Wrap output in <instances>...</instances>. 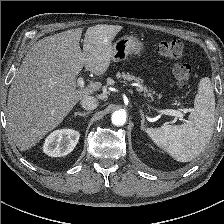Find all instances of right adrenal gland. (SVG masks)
Segmentation results:
<instances>
[{"mask_svg":"<svg viewBox=\"0 0 224 224\" xmlns=\"http://www.w3.org/2000/svg\"><path fill=\"white\" fill-rule=\"evenodd\" d=\"M88 114H90V112H75V117L76 116H82V117H85L87 116Z\"/></svg>","mask_w":224,"mask_h":224,"instance_id":"obj_1","label":"right adrenal gland"}]
</instances>
